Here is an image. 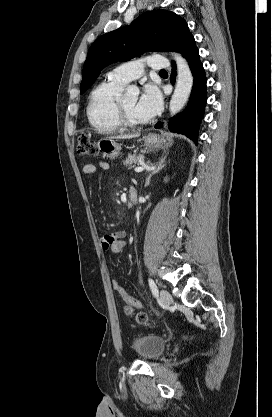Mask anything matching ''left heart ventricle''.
Returning a JSON list of instances; mask_svg holds the SVG:
<instances>
[{
	"instance_id": "1",
	"label": "left heart ventricle",
	"mask_w": 272,
	"mask_h": 417,
	"mask_svg": "<svg viewBox=\"0 0 272 417\" xmlns=\"http://www.w3.org/2000/svg\"><path fill=\"white\" fill-rule=\"evenodd\" d=\"M137 98L129 97L122 100L123 107L129 116V118L134 122H143L146 121L138 112H137Z\"/></svg>"
}]
</instances>
